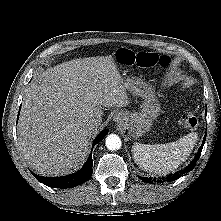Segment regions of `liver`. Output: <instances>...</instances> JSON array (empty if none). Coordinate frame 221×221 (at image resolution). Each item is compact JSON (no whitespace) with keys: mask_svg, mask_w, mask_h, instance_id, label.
I'll return each mask as SVG.
<instances>
[{"mask_svg":"<svg viewBox=\"0 0 221 221\" xmlns=\"http://www.w3.org/2000/svg\"><path fill=\"white\" fill-rule=\"evenodd\" d=\"M111 56L75 59L38 75L27 88L18 123L19 149L27 164L43 176L67 175L89 152L88 122L102 107L129 104Z\"/></svg>","mask_w":221,"mask_h":221,"instance_id":"obj_1","label":"liver"}]
</instances>
